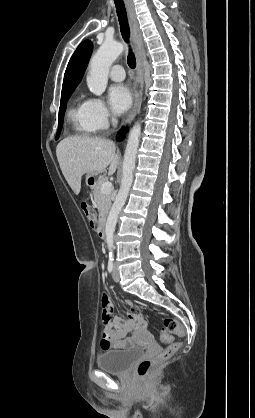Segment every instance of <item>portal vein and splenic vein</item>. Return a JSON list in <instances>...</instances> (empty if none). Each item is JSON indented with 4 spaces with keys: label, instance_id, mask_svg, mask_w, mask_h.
<instances>
[{
    "label": "portal vein and splenic vein",
    "instance_id": "obj_1",
    "mask_svg": "<svg viewBox=\"0 0 255 418\" xmlns=\"http://www.w3.org/2000/svg\"><path fill=\"white\" fill-rule=\"evenodd\" d=\"M112 190V183L109 181H106L101 186V192L106 194Z\"/></svg>",
    "mask_w": 255,
    "mask_h": 418
}]
</instances>
